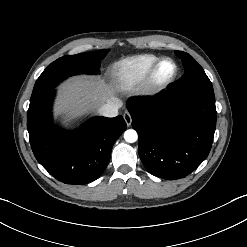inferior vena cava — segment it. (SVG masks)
Listing matches in <instances>:
<instances>
[{"label": "inferior vena cava", "mask_w": 247, "mask_h": 247, "mask_svg": "<svg viewBox=\"0 0 247 247\" xmlns=\"http://www.w3.org/2000/svg\"><path fill=\"white\" fill-rule=\"evenodd\" d=\"M122 103L118 99L108 101L99 108V113L105 117H115L118 115V110Z\"/></svg>", "instance_id": "602c4592"}]
</instances>
